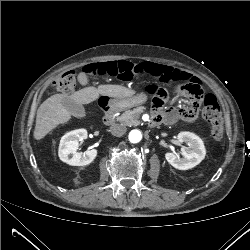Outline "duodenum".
Returning <instances> with one entry per match:
<instances>
[{
  "label": "duodenum",
  "instance_id": "1",
  "mask_svg": "<svg viewBox=\"0 0 250 250\" xmlns=\"http://www.w3.org/2000/svg\"><path fill=\"white\" fill-rule=\"evenodd\" d=\"M102 112H103V121L105 124L107 125H111L114 122V111L115 108L114 106L107 102V101H103L100 103ZM161 121L157 118V117H152L151 120L149 121V124L152 127L157 126Z\"/></svg>",
  "mask_w": 250,
  "mask_h": 250
}]
</instances>
